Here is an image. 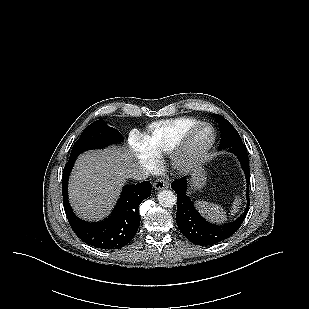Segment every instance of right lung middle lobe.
<instances>
[{
	"label": "right lung middle lobe",
	"instance_id": "right-lung-middle-lobe-1",
	"mask_svg": "<svg viewBox=\"0 0 309 309\" xmlns=\"http://www.w3.org/2000/svg\"><path fill=\"white\" fill-rule=\"evenodd\" d=\"M122 140V135L118 130L109 127L103 120H97L85 128L78 141L75 142L70 159L76 158L86 150L104 148L109 144L120 143Z\"/></svg>",
	"mask_w": 309,
	"mask_h": 309
}]
</instances>
